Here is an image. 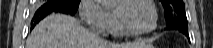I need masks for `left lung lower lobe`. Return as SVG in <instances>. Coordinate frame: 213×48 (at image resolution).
Here are the masks:
<instances>
[{
  "label": "left lung lower lobe",
  "instance_id": "obj_1",
  "mask_svg": "<svg viewBox=\"0 0 213 48\" xmlns=\"http://www.w3.org/2000/svg\"><path fill=\"white\" fill-rule=\"evenodd\" d=\"M167 28L168 29L179 30L180 32L184 33L189 38V35H188V25L187 26H183V25H180L178 23H167Z\"/></svg>",
  "mask_w": 213,
  "mask_h": 48
}]
</instances>
